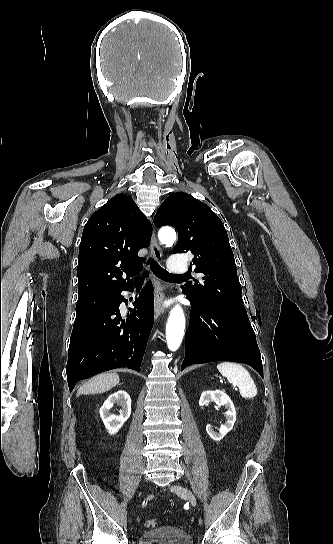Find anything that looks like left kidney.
Segmentation results:
<instances>
[{
  "instance_id": "obj_1",
  "label": "left kidney",
  "mask_w": 333,
  "mask_h": 544,
  "mask_svg": "<svg viewBox=\"0 0 333 544\" xmlns=\"http://www.w3.org/2000/svg\"><path fill=\"white\" fill-rule=\"evenodd\" d=\"M214 401L218 406H225L227 411L225 412L226 423L221 425L219 432H216L208 424L206 426V431L208 435L215 441H220L224 436L233 429L234 423L236 421V410L234 404L230 397L221 390L215 391H204L202 392L199 399V406H204L209 402Z\"/></svg>"
}]
</instances>
